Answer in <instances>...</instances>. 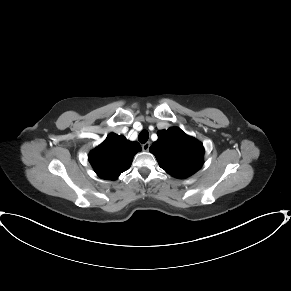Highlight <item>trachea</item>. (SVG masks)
I'll return each mask as SVG.
<instances>
[{
  "label": "trachea",
  "instance_id": "3493384b",
  "mask_svg": "<svg viewBox=\"0 0 291 291\" xmlns=\"http://www.w3.org/2000/svg\"><path fill=\"white\" fill-rule=\"evenodd\" d=\"M149 138V132L147 130H142L138 136V140L140 143H146Z\"/></svg>",
  "mask_w": 291,
  "mask_h": 291
}]
</instances>
